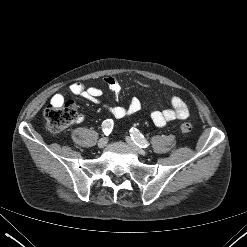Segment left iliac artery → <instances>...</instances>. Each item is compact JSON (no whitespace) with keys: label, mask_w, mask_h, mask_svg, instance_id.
I'll list each match as a JSON object with an SVG mask.
<instances>
[{"label":"left iliac artery","mask_w":247,"mask_h":247,"mask_svg":"<svg viewBox=\"0 0 247 247\" xmlns=\"http://www.w3.org/2000/svg\"><path fill=\"white\" fill-rule=\"evenodd\" d=\"M131 138L141 148H146L149 146V142L144 138V136L136 129L131 128L130 130Z\"/></svg>","instance_id":"obj_1"}]
</instances>
